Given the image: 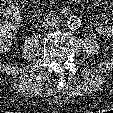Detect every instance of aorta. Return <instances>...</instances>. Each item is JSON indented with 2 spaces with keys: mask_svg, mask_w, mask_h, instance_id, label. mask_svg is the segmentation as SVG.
<instances>
[{
  "mask_svg": "<svg viewBox=\"0 0 113 113\" xmlns=\"http://www.w3.org/2000/svg\"><path fill=\"white\" fill-rule=\"evenodd\" d=\"M67 26L71 30H76L81 26V19L78 16H70L67 19Z\"/></svg>",
  "mask_w": 113,
  "mask_h": 113,
  "instance_id": "1",
  "label": "aorta"
}]
</instances>
